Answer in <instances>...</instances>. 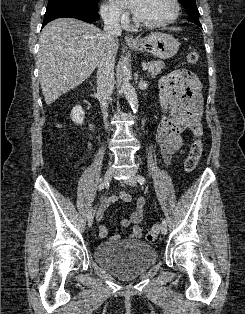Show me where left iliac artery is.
<instances>
[{
  "instance_id": "1",
  "label": "left iliac artery",
  "mask_w": 245,
  "mask_h": 314,
  "mask_svg": "<svg viewBox=\"0 0 245 314\" xmlns=\"http://www.w3.org/2000/svg\"><path fill=\"white\" fill-rule=\"evenodd\" d=\"M137 181L141 184L144 185L146 183V179L145 177H143L142 175H138L137 177ZM162 224L167 225V222L165 219L162 220Z\"/></svg>"
}]
</instances>
